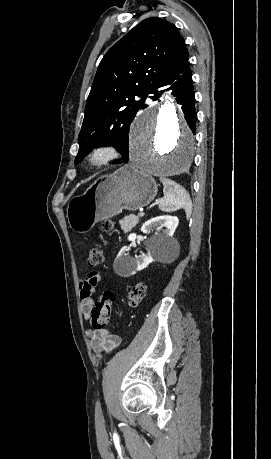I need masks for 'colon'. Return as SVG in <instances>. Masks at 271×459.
<instances>
[{
	"mask_svg": "<svg viewBox=\"0 0 271 459\" xmlns=\"http://www.w3.org/2000/svg\"><path fill=\"white\" fill-rule=\"evenodd\" d=\"M113 222L106 220L102 223L104 231H111L113 229ZM104 260V251L101 246L94 245L91 247L87 259V265L94 268L102 264ZM146 295V286L144 283L135 284L128 294V305L136 307ZM114 301V294L111 291H105L100 295L97 302L94 304L88 322L94 329H103L111 315L112 304Z\"/></svg>",
	"mask_w": 271,
	"mask_h": 459,
	"instance_id": "1",
	"label": "colon"
}]
</instances>
